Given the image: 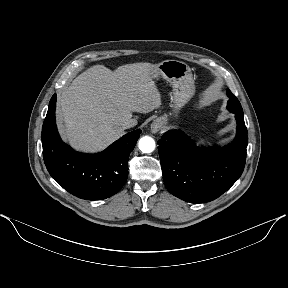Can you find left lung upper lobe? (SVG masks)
<instances>
[{"label": "left lung upper lobe", "mask_w": 288, "mask_h": 288, "mask_svg": "<svg viewBox=\"0 0 288 288\" xmlns=\"http://www.w3.org/2000/svg\"><path fill=\"white\" fill-rule=\"evenodd\" d=\"M227 96L229 97L227 103V109L230 112H237L243 115V109L241 107L239 100L231 93L229 89H227Z\"/></svg>", "instance_id": "1"}]
</instances>
